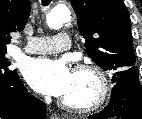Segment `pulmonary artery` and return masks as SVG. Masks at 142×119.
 Instances as JSON below:
<instances>
[{"label": "pulmonary artery", "mask_w": 142, "mask_h": 119, "mask_svg": "<svg viewBox=\"0 0 142 119\" xmlns=\"http://www.w3.org/2000/svg\"><path fill=\"white\" fill-rule=\"evenodd\" d=\"M70 41V36L66 33L54 37L33 38L27 42L23 51L36 54L58 53L68 49Z\"/></svg>", "instance_id": "e3ab8cb5"}]
</instances>
